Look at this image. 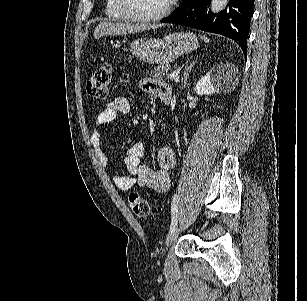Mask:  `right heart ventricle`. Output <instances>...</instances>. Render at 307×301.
<instances>
[{"instance_id":"1","label":"right heart ventricle","mask_w":307,"mask_h":301,"mask_svg":"<svg viewBox=\"0 0 307 301\" xmlns=\"http://www.w3.org/2000/svg\"><path fill=\"white\" fill-rule=\"evenodd\" d=\"M108 2V8H111V5H113V1L109 0ZM107 17H122V10H107Z\"/></svg>"}]
</instances>
